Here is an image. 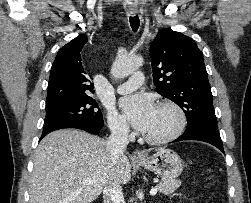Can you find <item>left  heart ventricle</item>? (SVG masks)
Wrapping results in <instances>:
<instances>
[{"label": "left heart ventricle", "instance_id": "1", "mask_svg": "<svg viewBox=\"0 0 251 203\" xmlns=\"http://www.w3.org/2000/svg\"><path fill=\"white\" fill-rule=\"evenodd\" d=\"M177 122L175 113L168 108H156L154 118L145 134L150 136H163L170 133Z\"/></svg>", "mask_w": 251, "mask_h": 203}]
</instances>
